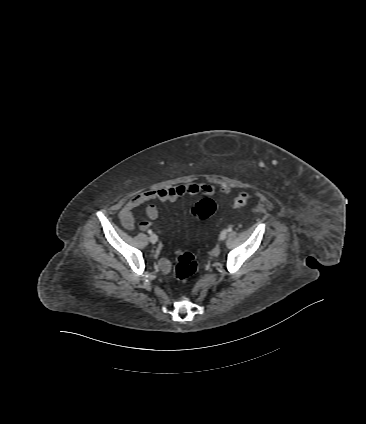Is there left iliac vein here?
<instances>
[{
	"instance_id": "1",
	"label": "left iliac vein",
	"mask_w": 366,
	"mask_h": 424,
	"mask_svg": "<svg viewBox=\"0 0 366 424\" xmlns=\"http://www.w3.org/2000/svg\"><path fill=\"white\" fill-rule=\"evenodd\" d=\"M226 237H227V230H223L221 233H220V240H225L226 239Z\"/></svg>"
}]
</instances>
